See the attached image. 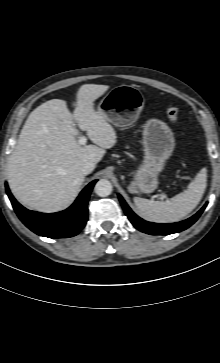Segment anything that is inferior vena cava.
Masks as SVG:
<instances>
[{
  "label": "inferior vena cava",
  "mask_w": 220,
  "mask_h": 363,
  "mask_svg": "<svg viewBox=\"0 0 220 363\" xmlns=\"http://www.w3.org/2000/svg\"><path fill=\"white\" fill-rule=\"evenodd\" d=\"M95 166L96 164L94 162H85L81 167V171L84 175H88L95 169Z\"/></svg>",
  "instance_id": "1"
}]
</instances>
